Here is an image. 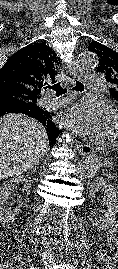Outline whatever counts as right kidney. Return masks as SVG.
Wrapping results in <instances>:
<instances>
[{
    "label": "right kidney",
    "instance_id": "1",
    "mask_svg": "<svg viewBox=\"0 0 118 269\" xmlns=\"http://www.w3.org/2000/svg\"><path fill=\"white\" fill-rule=\"evenodd\" d=\"M20 183H24L26 190L30 188L32 180L31 177L15 176L10 181L4 182L0 186V222L1 223H13L16 220V216L19 214L20 208L16 207L12 209L7 205L8 198L11 191Z\"/></svg>",
    "mask_w": 118,
    "mask_h": 269
}]
</instances>
